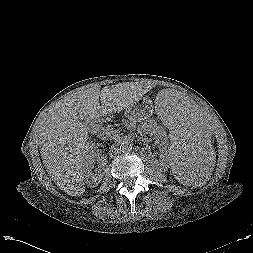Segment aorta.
<instances>
[{
    "mask_svg": "<svg viewBox=\"0 0 253 253\" xmlns=\"http://www.w3.org/2000/svg\"><path fill=\"white\" fill-rule=\"evenodd\" d=\"M118 147L121 152L127 153L132 150V143L129 140H121L118 143Z\"/></svg>",
    "mask_w": 253,
    "mask_h": 253,
    "instance_id": "aorta-1",
    "label": "aorta"
}]
</instances>
